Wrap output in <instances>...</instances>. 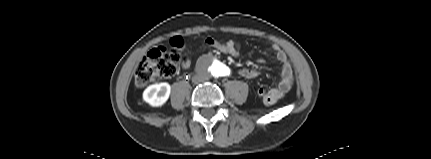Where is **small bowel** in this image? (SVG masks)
<instances>
[{
	"label": "small bowel",
	"mask_w": 431,
	"mask_h": 159,
	"mask_svg": "<svg viewBox=\"0 0 431 159\" xmlns=\"http://www.w3.org/2000/svg\"><path fill=\"white\" fill-rule=\"evenodd\" d=\"M206 45L211 46L215 48L216 50H229L234 49L236 50V55H232V57H239V46L238 44L233 40H228L226 42H219L218 40L214 39H207ZM274 50L276 51L275 58L276 60L281 64V77L278 85L275 88L270 89L269 91H266V94L261 97L265 104L267 105H275L279 99H281L292 87L294 83V75L292 66L285 55V53L281 50H279L277 47H274ZM228 55V54H227ZM259 63H264V59H259ZM191 66V59L188 56H185L182 61V67L184 69H188ZM239 74L247 79H253L259 76L260 72L254 69L243 67L239 70Z\"/></svg>",
	"instance_id": "c3829d8e"
}]
</instances>
